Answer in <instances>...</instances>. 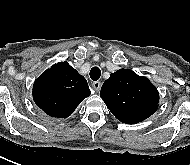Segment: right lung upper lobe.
Here are the masks:
<instances>
[{
    "label": "right lung upper lobe",
    "instance_id": "1",
    "mask_svg": "<svg viewBox=\"0 0 190 165\" xmlns=\"http://www.w3.org/2000/svg\"><path fill=\"white\" fill-rule=\"evenodd\" d=\"M89 95L86 79L66 61L47 69L33 85V99L37 106L57 118L70 116Z\"/></svg>",
    "mask_w": 190,
    "mask_h": 165
}]
</instances>
